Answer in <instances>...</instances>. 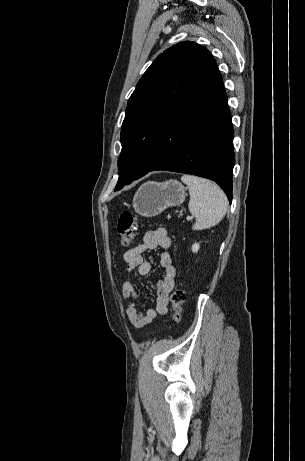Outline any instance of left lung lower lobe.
I'll list each match as a JSON object with an SVG mask.
<instances>
[{
  "instance_id": "obj_1",
  "label": "left lung lower lobe",
  "mask_w": 305,
  "mask_h": 461,
  "mask_svg": "<svg viewBox=\"0 0 305 461\" xmlns=\"http://www.w3.org/2000/svg\"><path fill=\"white\" fill-rule=\"evenodd\" d=\"M233 167L231 114L215 62L165 125L146 174L166 170L211 179L231 203Z\"/></svg>"
}]
</instances>
